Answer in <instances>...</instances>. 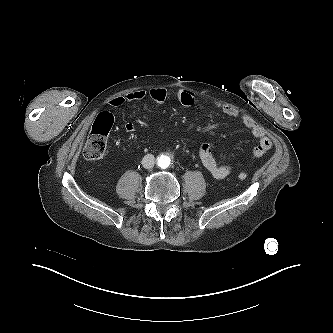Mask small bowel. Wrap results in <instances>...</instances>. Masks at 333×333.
<instances>
[{"label": "small bowel", "mask_w": 333, "mask_h": 333, "mask_svg": "<svg viewBox=\"0 0 333 333\" xmlns=\"http://www.w3.org/2000/svg\"><path fill=\"white\" fill-rule=\"evenodd\" d=\"M167 97L168 91L165 88H153L150 90H139L115 97L109 102V104L110 106L117 108L129 102L141 101L144 99H150L155 103H163L166 101ZM177 100L183 106L190 107L196 103V94L188 89H180L177 92ZM216 106L228 116H239L238 111L229 105L216 103ZM240 119L243 125L258 140L257 147H255L249 157L242 158L231 163H220L215 159L211 145L203 144L199 150V158L203 166L208 173L216 179H223L236 171L242 170L251 161L262 157L272 146V142L266 136L264 129L249 115L242 114ZM124 128L127 132H134L136 130V125L132 122H127L125 123Z\"/></svg>", "instance_id": "obj_1"}]
</instances>
